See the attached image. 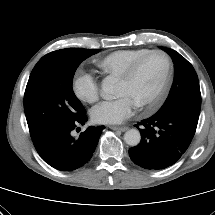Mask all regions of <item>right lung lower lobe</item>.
<instances>
[{"label":"right lung lower lobe","mask_w":215,"mask_h":215,"mask_svg":"<svg viewBox=\"0 0 215 215\" xmlns=\"http://www.w3.org/2000/svg\"><path fill=\"white\" fill-rule=\"evenodd\" d=\"M86 121L87 116L81 114L78 118L33 141L41 158L61 171H73L86 164L92 157L105 128L90 126L75 138L73 130L78 124L84 125Z\"/></svg>","instance_id":"right-lung-lower-lobe-1"}]
</instances>
